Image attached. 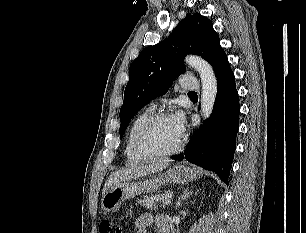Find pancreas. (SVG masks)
I'll return each instance as SVG.
<instances>
[{
	"mask_svg": "<svg viewBox=\"0 0 306 233\" xmlns=\"http://www.w3.org/2000/svg\"><path fill=\"white\" fill-rule=\"evenodd\" d=\"M167 199L166 194H157L146 197L139 201V204L147 209H158V204Z\"/></svg>",
	"mask_w": 306,
	"mask_h": 233,
	"instance_id": "cf45deb5",
	"label": "pancreas"
}]
</instances>
